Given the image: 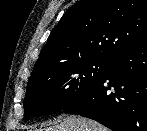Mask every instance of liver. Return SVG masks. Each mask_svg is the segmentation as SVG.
Returning a JSON list of instances; mask_svg holds the SVG:
<instances>
[{"label":"liver","mask_w":147,"mask_h":131,"mask_svg":"<svg viewBox=\"0 0 147 131\" xmlns=\"http://www.w3.org/2000/svg\"><path fill=\"white\" fill-rule=\"evenodd\" d=\"M45 131H108L107 128L102 126L96 121L71 115L64 118L63 122L53 127L44 129ZM43 131V130H39Z\"/></svg>","instance_id":"6515ba94"}]
</instances>
